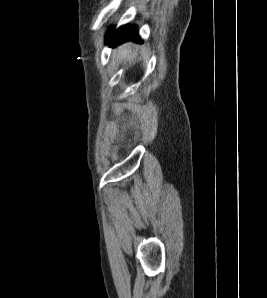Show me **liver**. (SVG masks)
Masks as SVG:
<instances>
[{
  "label": "liver",
  "instance_id": "6515ba94",
  "mask_svg": "<svg viewBox=\"0 0 267 298\" xmlns=\"http://www.w3.org/2000/svg\"><path fill=\"white\" fill-rule=\"evenodd\" d=\"M117 59L120 61H130L136 56V51L131 49V44L127 43L117 48Z\"/></svg>",
  "mask_w": 267,
  "mask_h": 298
}]
</instances>
